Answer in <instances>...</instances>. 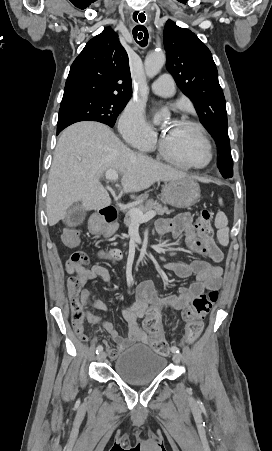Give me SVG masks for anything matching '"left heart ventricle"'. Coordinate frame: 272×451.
<instances>
[{
	"label": "left heart ventricle",
	"mask_w": 272,
	"mask_h": 451,
	"mask_svg": "<svg viewBox=\"0 0 272 451\" xmlns=\"http://www.w3.org/2000/svg\"><path fill=\"white\" fill-rule=\"evenodd\" d=\"M165 126L167 144L183 162L192 165H203L207 160L205 148L197 132L175 120L167 121Z\"/></svg>",
	"instance_id": "b2bd125f"
}]
</instances>
